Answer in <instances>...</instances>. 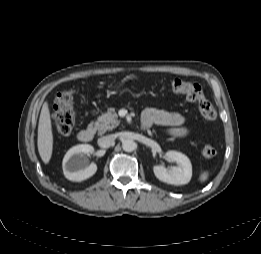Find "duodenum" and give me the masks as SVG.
<instances>
[{
	"label": "duodenum",
	"mask_w": 261,
	"mask_h": 254,
	"mask_svg": "<svg viewBox=\"0 0 261 254\" xmlns=\"http://www.w3.org/2000/svg\"><path fill=\"white\" fill-rule=\"evenodd\" d=\"M94 135H95V129L93 127H90V128L81 130L78 134V139L81 142L88 143L93 139Z\"/></svg>",
	"instance_id": "duodenum-1"
}]
</instances>
